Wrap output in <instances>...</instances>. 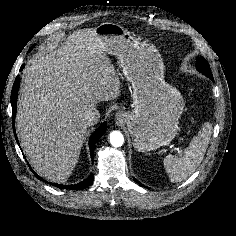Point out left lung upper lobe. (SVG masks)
<instances>
[{"label": "left lung upper lobe", "instance_id": "5c2ea615", "mask_svg": "<svg viewBox=\"0 0 236 236\" xmlns=\"http://www.w3.org/2000/svg\"><path fill=\"white\" fill-rule=\"evenodd\" d=\"M196 66H197L198 71L202 72L207 77L212 76L209 64L203 57L197 58Z\"/></svg>", "mask_w": 236, "mask_h": 236}]
</instances>
